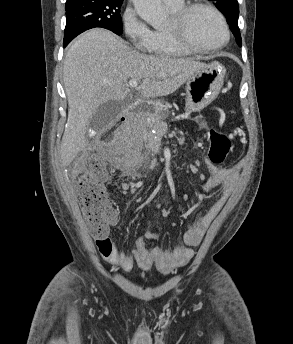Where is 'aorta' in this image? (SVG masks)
<instances>
[{
	"instance_id": "1",
	"label": "aorta",
	"mask_w": 293,
	"mask_h": 344,
	"mask_svg": "<svg viewBox=\"0 0 293 344\" xmlns=\"http://www.w3.org/2000/svg\"><path fill=\"white\" fill-rule=\"evenodd\" d=\"M133 4L140 18L152 27H160L166 22L167 14L160 0H133Z\"/></svg>"
}]
</instances>
